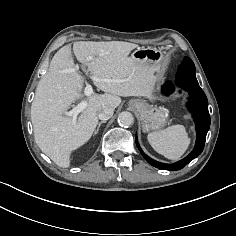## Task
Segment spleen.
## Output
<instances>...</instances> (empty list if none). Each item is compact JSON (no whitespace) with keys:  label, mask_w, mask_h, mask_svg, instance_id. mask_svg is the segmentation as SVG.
<instances>
[{"label":"spleen","mask_w":236,"mask_h":236,"mask_svg":"<svg viewBox=\"0 0 236 236\" xmlns=\"http://www.w3.org/2000/svg\"><path fill=\"white\" fill-rule=\"evenodd\" d=\"M152 148L170 160H178L188 149L190 138L183 125H172L148 134Z\"/></svg>","instance_id":"1"}]
</instances>
